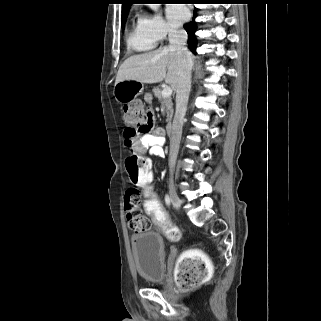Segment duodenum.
Returning <instances> with one entry per match:
<instances>
[{"label":"duodenum","mask_w":321,"mask_h":321,"mask_svg":"<svg viewBox=\"0 0 321 321\" xmlns=\"http://www.w3.org/2000/svg\"><path fill=\"white\" fill-rule=\"evenodd\" d=\"M165 131H166L167 135H169V136L172 135V133H173V125H172V123H168L166 125Z\"/></svg>","instance_id":"duodenum-1"}]
</instances>
